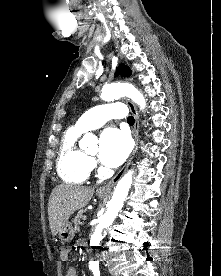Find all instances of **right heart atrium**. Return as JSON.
<instances>
[{"label":"right heart atrium","mask_w":221,"mask_h":276,"mask_svg":"<svg viewBox=\"0 0 221 276\" xmlns=\"http://www.w3.org/2000/svg\"><path fill=\"white\" fill-rule=\"evenodd\" d=\"M90 165H91V168L95 166V161L93 159H90Z\"/></svg>","instance_id":"d8ad5b80"}]
</instances>
